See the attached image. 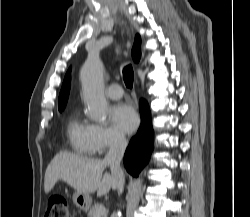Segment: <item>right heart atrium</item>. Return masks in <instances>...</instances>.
I'll return each mask as SVG.
<instances>
[{"label":"right heart atrium","instance_id":"d8ad5b80","mask_svg":"<svg viewBox=\"0 0 250 217\" xmlns=\"http://www.w3.org/2000/svg\"><path fill=\"white\" fill-rule=\"evenodd\" d=\"M125 142V136L109 125H90V145L93 154L101 155L108 150L122 147Z\"/></svg>","mask_w":250,"mask_h":217}]
</instances>
